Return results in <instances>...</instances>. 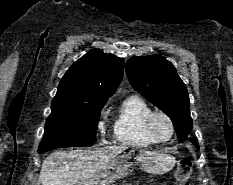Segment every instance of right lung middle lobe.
<instances>
[{
  "mask_svg": "<svg viewBox=\"0 0 233 185\" xmlns=\"http://www.w3.org/2000/svg\"><path fill=\"white\" fill-rule=\"evenodd\" d=\"M105 101L82 102L54 98L38 153L60 147H84L96 142L97 124Z\"/></svg>",
  "mask_w": 233,
  "mask_h": 185,
  "instance_id": "right-lung-middle-lobe-1",
  "label": "right lung middle lobe"
}]
</instances>
